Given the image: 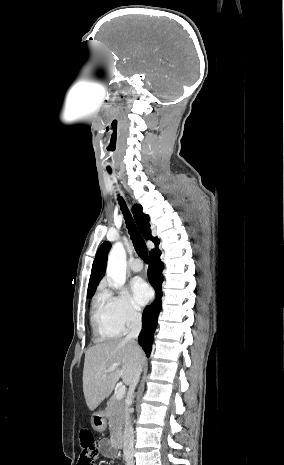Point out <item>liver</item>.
Instances as JSON below:
<instances>
[{"mask_svg": "<svg viewBox=\"0 0 284 465\" xmlns=\"http://www.w3.org/2000/svg\"><path fill=\"white\" fill-rule=\"evenodd\" d=\"M144 359L141 347L135 341L126 339H109L87 349L83 369V393L88 409H97L111 395L119 379H123L125 385H131ZM109 367L117 369L103 377Z\"/></svg>", "mask_w": 284, "mask_h": 465, "instance_id": "6515ba94", "label": "liver"}]
</instances>
